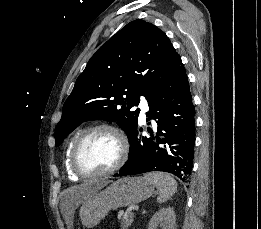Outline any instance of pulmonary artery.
I'll use <instances>...</instances> for the list:
<instances>
[{
  "label": "pulmonary artery",
  "mask_w": 261,
  "mask_h": 229,
  "mask_svg": "<svg viewBox=\"0 0 261 229\" xmlns=\"http://www.w3.org/2000/svg\"><path fill=\"white\" fill-rule=\"evenodd\" d=\"M144 100H140L139 109H140V115H139V121L141 123H144L146 120L147 115L150 114L148 105L151 104L150 100H145L146 98H143Z\"/></svg>",
  "instance_id": "obj_1"
}]
</instances>
